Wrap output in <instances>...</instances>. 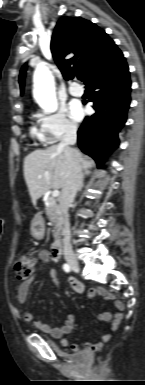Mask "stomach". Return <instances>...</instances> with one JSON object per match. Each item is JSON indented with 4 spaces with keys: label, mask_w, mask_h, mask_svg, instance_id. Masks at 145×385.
Segmentation results:
<instances>
[{
    "label": "stomach",
    "mask_w": 145,
    "mask_h": 385,
    "mask_svg": "<svg viewBox=\"0 0 145 385\" xmlns=\"http://www.w3.org/2000/svg\"><path fill=\"white\" fill-rule=\"evenodd\" d=\"M31 235L36 239H41L44 235V224L40 219L39 221L34 220L31 226Z\"/></svg>",
    "instance_id": "obj_1"
}]
</instances>
